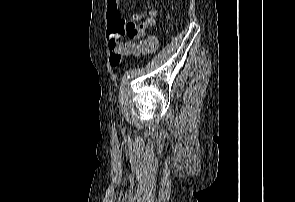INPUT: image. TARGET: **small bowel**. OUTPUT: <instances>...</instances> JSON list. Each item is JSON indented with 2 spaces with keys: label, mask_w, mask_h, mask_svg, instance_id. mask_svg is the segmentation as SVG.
Segmentation results:
<instances>
[{
  "label": "small bowel",
  "mask_w": 295,
  "mask_h": 202,
  "mask_svg": "<svg viewBox=\"0 0 295 202\" xmlns=\"http://www.w3.org/2000/svg\"><path fill=\"white\" fill-rule=\"evenodd\" d=\"M158 9L153 8L147 11H144L138 15L137 18L140 16H149V19L146 23L147 27H152L155 24L154 17L157 16ZM122 17L121 9H120V0H107V19L109 23H116ZM143 46H148L149 49L143 51H136L139 48L136 44L127 43L122 45L119 48L111 49L110 53V64L113 67H116L120 64L121 58L123 55L129 53H142V54H152L157 50L158 47V39L154 35L147 36Z\"/></svg>",
  "instance_id": "obj_1"
}]
</instances>
